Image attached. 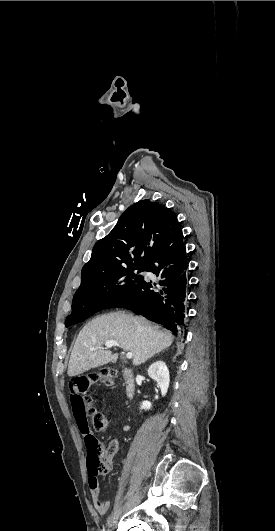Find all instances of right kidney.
Listing matches in <instances>:
<instances>
[{
	"mask_svg": "<svg viewBox=\"0 0 275 531\" xmlns=\"http://www.w3.org/2000/svg\"><path fill=\"white\" fill-rule=\"evenodd\" d=\"M148 375L151 379H155L161 389L162 397H165L170 383L169 369L164 361H156L153 365H150L148 369ZM152 405L150 401H142L141 409H151Z\"/></svg>",
	"mask_w": 275,
	"mask_h": 531,
	"instance_id": "1",
	"label": "right kidney"
}]
</instances>
